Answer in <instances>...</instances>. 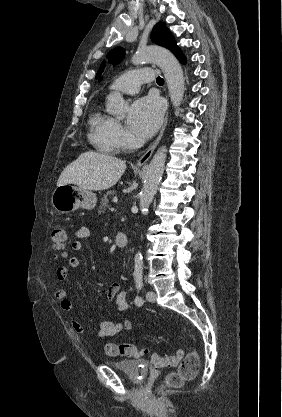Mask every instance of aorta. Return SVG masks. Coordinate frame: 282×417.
Wrapping results in <instances>:
<instances>
[{"mask_svg": "<svg viewBox=\"0 0 282 417\" xmlns=\"http://www.w3.org/2000/svg\"><path fill=\"white\" fill-rule=\"evenodd\" d=\"M147 60H154L160 66L167 82L170 100L173 106H180L185 90V78L180 62L176 56L163 48V46H146V48H138L132 56L133 64H142ZM106 106L110 114H115L116 118H123L128 108L126 100H124L120 92L108 94L106 98ZM166 146H161L155 152L145 174L143 188L139 194L140 211L148 213L149 206L157 192L158 184L164 172L166 160ZM144 269V261L141 251H137L134 257V279H142Z\"/></svg>", "mask_w": 282, "mask_h": 417, "instance_id": "1", "label": "aorta"}]
</instances>
